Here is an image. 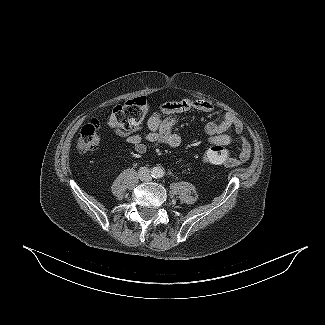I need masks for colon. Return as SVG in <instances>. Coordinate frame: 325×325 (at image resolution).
I'll list each match as a JSON object with an SVG mask.
<instances>
[{
  "label": "colon",
  "mask_w": 325,
  "mask_h": 325,
  "mask_svg": "<svg viewBox=\"0 0 325 325\" xmlns=\"http://www.w3.org/2000/svg\"><path fill=\"white\" fill-rule=\"evenodd\" d=\"M150 115V106L144 97H137L115 106L111 112L108 124L113 129L129 130L142 124ZM100 123L92 119L85 124L79 133L77 150L81 154L94 151L99 144ZM203 161L210 165L229 164L232 159L229 150L222 145H215L203 154Z\"/></svg>",
  "instance_id": "5ec220e1"
}]
</instances>
